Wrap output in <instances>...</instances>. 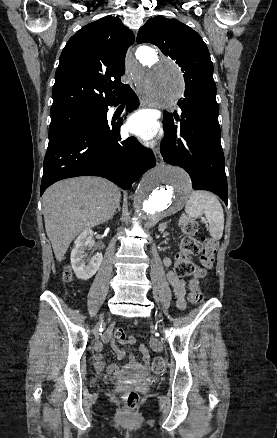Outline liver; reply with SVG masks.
<instances>
[{"label":"liver","mask_w":277,"mask_h":438,"mask_svg":"<svg viewBox=\"0 0 277 438\" xmlns=\"http://www.w3.org/2000/svg\"><path fill=\"white\" fill-rule=\"evenodd\" d=\"M120 200V188L103 178L82 176L50 186L43 194V214L57 262L78 234L111 220Z\"/></svg>","instance_id":"liver-1"}]
</instances>
